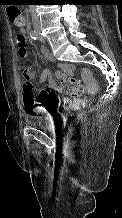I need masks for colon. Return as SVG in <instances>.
Wrapping results in <instances>:
<instances>
[{
	"instance_id": "5ec220e1",
	"label": "colon",
	"mask_w": 122,
	"mask_h": 218,
	"mask_svg": "<svg viewBox=\"0 0 122 218\" xmlns=\"http://www.w3.org/2000/svg\"><path fill=\"white\" fill-rule=\"evenodd\" d=\"M8 17L11 23L18 31H22L26 25L27 17L26 15L17 7L8 8ZM16 44L19 48V55L22 59H27L29 57L26 50V39L19 33L16 37ZM82 77L86 84L83 85L80 80L75 78H66L62 81V87L64 91L74 97H80L84 92L94 93L97 90L95 83L92 80L91 72L88 69L82 71ZM23 92H24V106L28 113H37L34 104V92L30 81L29 71L25 70L23 72ZM87 100L84 99V102Z\"/></svg>"
}]
</instances>
